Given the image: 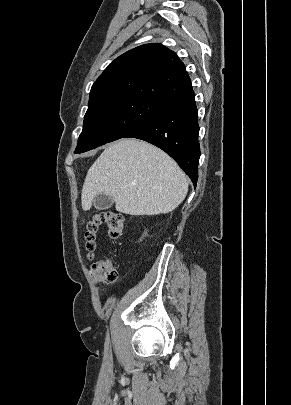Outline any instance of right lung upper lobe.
<instances>
[{"instance_id":"cb5924a9","label":"right lung upper lobe","mask_w":291,"mask_h":405,"mask_svg":"<svg viewBox=\"0 0 291 405\" xmlns=\"http://www.w3.org/2000/svg\"><path fill=\"white\" fill-rule=\"evenodd\" d=\"M191 88L175 52L161 44H145L122 54L104 70L91 88L89 107L127 98L166 103Z\"/></svg>"}]
</instances>
